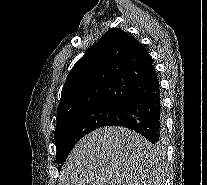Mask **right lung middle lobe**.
Segmentation results:
<instances>
[{
    "label": "right lung middle lobe",
    "mask_w": 207,
    "mask_h": 185,
    "mask_svg": "<svg viewBox=\"0 0 207 185\" xmlns=\"http://www.w3.org/2000/svg\"><path fill=\"white\" fill-rule=\"evenodd\" d=\"M121 106L103 104L83 110L57 122L54 139L57 148L58 171L61 170L75 144L89 132L106 126L109 121L116 118Z\"/></svg>",
    "instance_id": "right-lung-middle-lobe-1"
}]
</instances>
